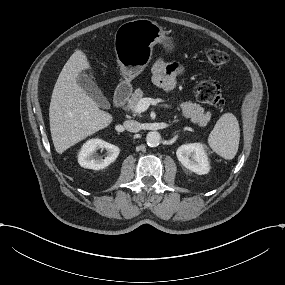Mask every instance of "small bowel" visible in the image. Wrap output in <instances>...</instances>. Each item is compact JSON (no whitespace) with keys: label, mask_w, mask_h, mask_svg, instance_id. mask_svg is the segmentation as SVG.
Listing matches in <instances>:
<instances>
[{"label":"small bowel","mask_w":285,"mask_h":285,"mask_svg":"<svg viewBox=\"0 0 285 285\" xmlns=\"http://www.w3.org/2000/svg\"><path fill=\"white\" fill-rule=\"evenodd\" d=\"M183 72L177 63H166L159 59L152 67V80L158 87L170 91L176 86L177 77Z\"/></svg>","instance_id":"1"}]
</instances>
